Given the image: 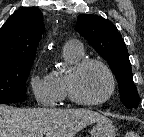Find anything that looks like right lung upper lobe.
I'll use <instances>...</instances> for the list:
<instances>
[{"instance_id":"cb5924a9","label":"right lung upper lobe","mask_w":144,"mask_h":137,"mask_svg":"<svg viewBox=\"0 0 144 137\" xmlns=\"http://www.w3.org/2000/svg\"><path fill=\"white\" fill-rule=\"evenodd\" d=\"M43 32V16L38 8L14 12L0 28V63L34 59Z\"/></svg>"}]
</instances>
